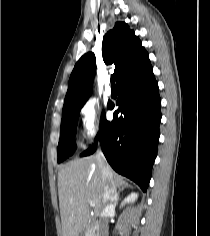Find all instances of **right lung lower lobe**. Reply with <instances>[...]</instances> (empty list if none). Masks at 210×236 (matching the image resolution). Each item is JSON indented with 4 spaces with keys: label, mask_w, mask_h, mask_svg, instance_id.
Instances as JSON below:
<instances>
[{
    "label": "right lung lower lobe",
    "mask_w": 210,
    "mask_h": 236,
    "mask_svg": "<svg viewBox=\"0 0 210 236\" xmlns=\"http://www.w3.org/2000/svg\"><path fill=\"white\" fill-rule=\"evenodd\" d=\"M117 87L119 108L112 121L105 115L101 119L98 137L111 167L145 192L157 155L161 121V100L151 64L120 81ZM96 148L97 139L81 156L93 154Z\"/></svg>",
    "instance_id": "98d812e1"
}]
</instances>
